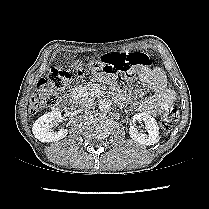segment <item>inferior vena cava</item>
I'll list each match as a JSON object with an SVG mask.
<instances>
[{"label":"inferior vena cava","mask_w":209,"mask_h":209,"mask_svg":"<svg viewBox=\"0 0 209 209\" xmlns=\"http://www.w3.org/2000/svg\"><path fill=\"white\" fill-rule=\"evenodd\" d=\"M93 105H94V100L91 97H84L79 101V106L84 110L91 109Z\"/></svg>","instance_id":"1"}]
</instances>
